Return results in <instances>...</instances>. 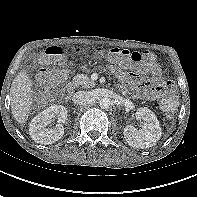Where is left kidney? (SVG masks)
I'll return each instance as SVG.
<instances>
[{
    "mask_svg": "<svg viewBox=\"0 0 197 197\" xmlns=\"http://www.w3.org/2000/svg\"><path fill=\"white\" fill-rule=\"evenodd\" d=\"M136 119L143 121L141 129L132 125L124 128V138L134 148L146 149L156 145L162 132L156 115L147 107H140L136 112Z\"/></svg>",
    "mask_w": 197,
    "mask_h": 197,
    "instance_id": "5707ae66",
    "label": "left kidney"
}]
</instances>
